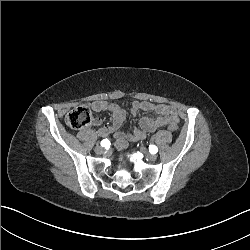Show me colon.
<instances>
[{
  "instance_id": "5ec220e1",
  "label": "colon",
  "mask_w": 250,
  "mask_h": 250,
  "mask_svg": "<svg viewBox=\"0 0 250 250\" xmlns=\"http://www.w3.org/2000/svg\"><path fill=\"white\" fill-rule=\"evenodd\" d=\"M92 121V114L86 107H75L71 109L65 116L66 125L73 130H80L87 127ZM178 123L175 121L169 122L168 130L171 133L178 131Z\"/></svg>"
}]
</instances>
